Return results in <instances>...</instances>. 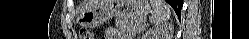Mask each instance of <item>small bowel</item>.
<instances>
[{"label": "small bowel", "instance_id": "small-bowel-1", "mask_svg": "<svg viewBox=\"0 0 249 39\" xmlns=\"http://www.w3.org/2000/svg\"><path fill=\"white\" fill-rule=\"evenodd\" d=\"M101 39H119V35L115 29L110 28L106 31L105 35L101 37Z\"/></svg>", "mask_w": 249, "mask_h": 39}]
</instances>
